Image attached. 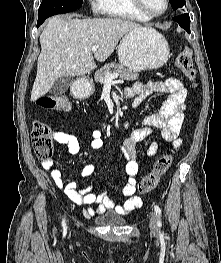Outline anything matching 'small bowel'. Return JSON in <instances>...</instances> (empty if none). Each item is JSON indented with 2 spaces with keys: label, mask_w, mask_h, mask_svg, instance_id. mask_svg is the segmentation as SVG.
<instances>
[{
  "label": "small bowel",
  "mask_w": 221,
  "mask_h": 263,
  "mask_svg": "<svg viewBox=\"0 0 221 263\" xmlns=\"http://www.w3.org/2000/svg\"><path fill=\"white\" fill-rule=\"evenodd\" d=\"M154 94H166L160 110L150 114L143 119L142 127L129 133L120 144V150L126 162L125 171L128 175V181L122 189V195L125 201L122 204H115L105 191L96 193L93 186L79 187L74 182L65 183L62 173L58 168L53 167L51 160L42 162L45 170L50 175L57 187L62 189L67 197L77 205H89L85 211L86 217H93L103 214L107 210H113L117 214L127 216L132 214L142 205V200L136 193V176L138 174L139 165L137 161V144L148 137L153 129H159L161 136L171 141L173 148L178 150L182 145L180 136L187 110L186 97L187 90L183 83L177 79H168L166 81L141 83L136 82L125 90V96L134 98L135 104H139L144 99ZM90 135V148L100 150L104 146L102 132L96 128H87ZM54 139L59 145L67 147L72 155H77L80 150V144L77 137L67 132H56ZM158 144L151 142L146 150L148 156H156L158 154ZM95 167L87 165L82 170V176L87 177L94 173Z\"/></svg>",
  "instance_id": "1"
}]
</instances>
